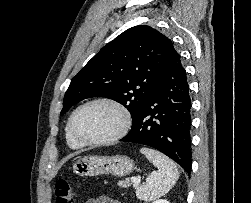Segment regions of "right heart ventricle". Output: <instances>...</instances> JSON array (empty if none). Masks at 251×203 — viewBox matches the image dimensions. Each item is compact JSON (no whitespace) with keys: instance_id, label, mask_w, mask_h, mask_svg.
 Returning <instances> with one entry per match:
<instances>
[{"instance_id":"right-heart-ventricle-1","label":"right heart ventricle","mask_w":251,"mask_h":203,"mask_svg":"<svg viewBox=\"0 0 251 203\" xmlns=\"http://www.w3.org/2000/svg\"><path fill=\"white\" fill-rule=\"evenodd\" d=\"M65 138H66V142H67L68 146L71 147L72 149H79L83 146L82 144L78 143L71 136L69 129H68V124L66 125V128H65Z\"/></svg>"}]
</instances>
